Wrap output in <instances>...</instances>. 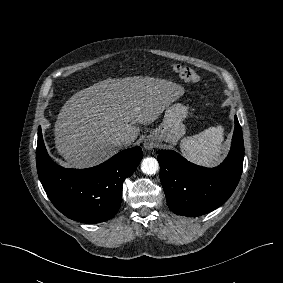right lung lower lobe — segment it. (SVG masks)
I'll list each match as a JSON object with an SVG mask.
<instances>
[{"label":"right lung lower lobe","mask_w":283,"mask_h":283,"mask_svg":"<svg viewBox=\"0 0 283 283\" xmlns=\"http://www.w3.org/2000/svg\"><path fill=\"white\" fill-rule=\"evenodd\" d=\"M142 157L137 146L93 168L66 169L51 160L38 128L36 164L42 186L61 213L79 222L100 223L115 215L123 181L134 173Z\"/></svg>","instance_id":"obj_1"}]
</instances>
